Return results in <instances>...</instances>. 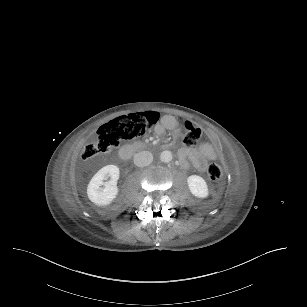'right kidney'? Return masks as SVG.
I'll return each instance as SVG.
<instances>
[{
	"label": "right kidney",
	"instance_id": "right-kidney-1",
	"mask_svg": "<svg viewBox=\"0 0 307 307\" xmlns=\"http://www.w3.org/2000/svg\"><path fill=\"white\" fill-rule=\"evenodd\" d=\"M119 176V168L115 165H107L101 168L88 184L87 195L89 200L98 206L110 204L118 194L117 181ZM108 177H110V180L104 182L103 180L108 179Z\"/></svg>",
	"mask_w": 307,
	"mask_h": 307
}]
</instances>
